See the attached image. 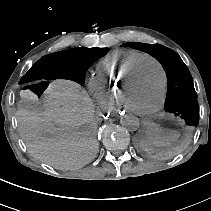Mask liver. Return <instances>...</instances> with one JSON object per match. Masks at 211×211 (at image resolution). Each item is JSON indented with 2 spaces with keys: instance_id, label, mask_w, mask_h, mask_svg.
Returning a JSON list of instances; mask_svg holds the SVG:
<instances>
[{
  "instance_id": "6515ba94",
  "label": "liver",
  "mask_w": 211,
  "mask_h": 211,
  "mask_svg": "<svg viewBox=\"0 0 211 211\" xmlns=\"http://www.w3.org/2000/svg\"><path fill=\"white\" fill-rule=\"evenodd\" d=\"M41 109L18 110L19 133L31 154L57 169L88 164L98 150L94 109L80 86L54 81Z\"/></svg>"
}]
</instances>
